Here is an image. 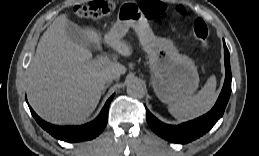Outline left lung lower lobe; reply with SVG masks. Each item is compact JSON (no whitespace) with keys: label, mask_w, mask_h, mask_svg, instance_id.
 Segmentation results:
<instances>
[{"label":"left lung lower lobe","mask_w":259,"mask_h":156,"mask_svg":"<svg viewBox=\"0 0 259 156\" xmlns=\"http://www.w3.org/2000/svg\"><path fill=\"white\" fill-rule=\"evenodd\" d=\"M224 62L226 70L225 82L216 104L207 114L195 120L174 126L162 123L148 110H146V118L150 128L160 137L179 144L191 142L208 132L222 117L231 93L232 77L229 61V51L225 45V42Z\"/></svg>","instance_id":"obj_1"}]
</instances>
